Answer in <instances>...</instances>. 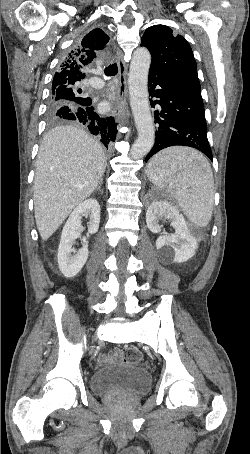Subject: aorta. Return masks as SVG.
<instances>
[{"instance_id": "obj_1", "label": "aorta", "mask_w": 250, "mask_h": 454, "mask_svg": "<svg viewBox=\"0 0 250 454\" xmlns=\"http://www.w3.org/2000/svg\"><path fill=\"white\" fill-rule=\"evenodd\" d=\"M151 63L149 51L140 47L133 53L128 77L130 106L138 137L130 150L133 159L143 158L152 149L155 141V127L148 99V73Z\"/></svg>"}]
</instances>
